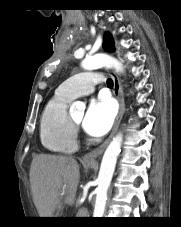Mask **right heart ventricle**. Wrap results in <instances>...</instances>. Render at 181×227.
<instances>
[{"instance_id": "e07e8e85", "label": "right heart ventricle", "mask_w": 181, "mask_h": 227, "mask_svg": "<svg viewBox=\"0 0 181 227\" xmlns=\"http://www.w3.org/2000/svg\"><path fill=\"white\" fill-rule=\"evenodd\" d=\"M71 100L56 91L43 109L40 139L42 145L51 152L70 154L78 149L76 129L67 112Z\"/></svg>"}]
</instances>
